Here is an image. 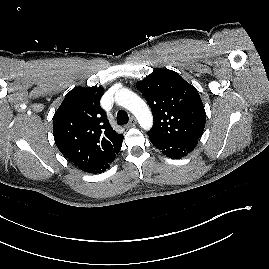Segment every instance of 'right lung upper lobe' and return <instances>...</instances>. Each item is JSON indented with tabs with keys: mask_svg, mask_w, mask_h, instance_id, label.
<instances>
[{
	"mask_svg": "<svg viewBox=\"0 0 269 269\" xmlns=\"http://www.w3.org/2000/svg\"><path fill=\"white\" fill-rule=\"evenodd\" d=\"M102 87L71 90L53 116L55 144L82 170L103 160L123 141L100 106Z\"/></svg>",
	"mask_w": 269,
	"mask_h": 269,
	"instance_id": "obj_1",
	"label": "right lung upper lobe"
}]
</instances>
